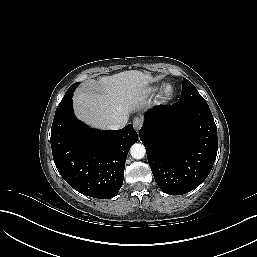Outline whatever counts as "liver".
Masks as SVG:
<instances>
[{
    "instance_id": "1",
    "label": "liver",
    "mask_w": 257,
    "mask_h": 257,
    "mask_svg": "<svg viewBox=\"0 0 257 257\" xmlns=\"http://www.w3.org/2000/svg\"><path fill=\"white\" fill-rule=\"evenodd\" d=\"M151 80L150 75L137 70L101 77L92 82L97 92L81 90L74 96L75 114L83 122L104 129L134 110Z\"/></svg>"
}]
</instances>
